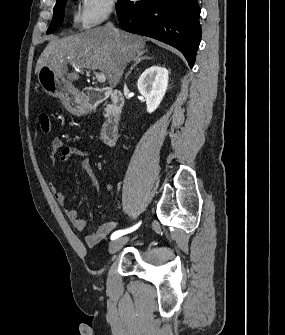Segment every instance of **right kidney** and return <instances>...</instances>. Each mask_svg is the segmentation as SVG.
<instances>
[{
    "label": "right kidney",
    "instance_id": "right-kidney-1",
    "mask_svg": "<svg viewBox=\"0 0 285 335\" xmlns=\"http://www.w3.org/2000/svg\"><path fill=\"white\" fill-rule=\"evenodd\" d=\"M169 72L160 66H151L141 74L137 86L140 94L144 96L147 112L152 114L162 102L168 88Z\"/></svg>",
    "mask_w": 285,
    "mask_h": 335
}]
</instances>
